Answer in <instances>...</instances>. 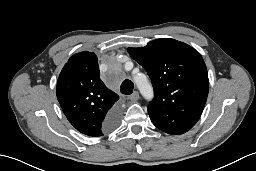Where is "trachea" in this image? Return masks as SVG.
<instances>
[{"mask_svg": "<svg viewBox=\"0 0 256 171\" xmlns=\"http://www.w3.org/2000/svg\"><path fill=\"white\" fill-rule=\"evenodd\" d=\"M134 84L131 80H124L121 84L120 90L122 94L130 95L133 92Z\"/></svg>", "mask_w": 256, "mask_h": 171, "instance_id": "3493384b", "label": "trachea"}]
</instances>
